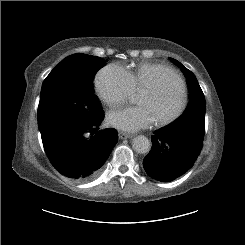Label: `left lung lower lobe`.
<instances>
[{"label":"left lung lower lobe","instance_id":"left-lung-lower-lobe-1","mask_svg":"<svg viewBox=\"0 0 245 245\" xmlns=\"http://www.w3.org/2000/svg\"><path fill=\"white\" fill-rule=\"evenodd\" d=\"M152 148L143 160L146 173L161 182L185 174L197 160L202 142L191 136L172 134L164 129L154 132Z\"/></svg>","mask_w":245,"mask_h":245}]
</instances>
